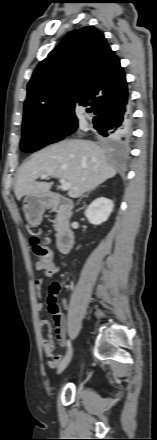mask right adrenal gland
<instances>
[{
    "instance_id": "obj_1",
    "label": "right adrenal gland",
    "mask_w": 157,
    "mask_h": 440,
    "mask_svg": "<svg viewBox=\"0 0 157 440\" xmlns=\"http://www.w3.org/2000/svg\"><path fill=\"white\" fill-rule=\"evenodd\" d=\"M93 190H94V189H93ZM91 191H92V190L88 191L87 194L84 195L83 197H87V196L91 193ZM78 203H79V201H78Z\"/></svg>"
}]
</instances>
